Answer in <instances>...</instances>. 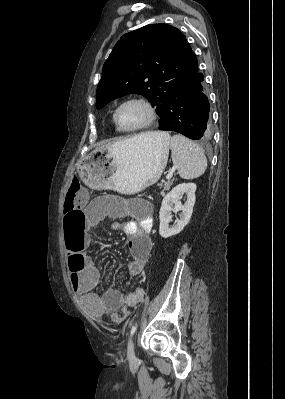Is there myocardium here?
<instances>
[{
	"label": "myocardium",
	"instance_id": "1",
	"mask_svg": "<svg viewBox=\"0 0 285 399\" xmlns=\"http://www.w3.org/2000/svg\"><path fill=\"white\" fill-rule=\"evenodd\" d=\"M130 103H140L142 105L145 106V108L148 111V119L135 127H131V128H124L121 126V124L119 123V119H118V115L120 110L127 104ZM157 118V112H156V108L153 105V103L148 100L147 98L141 97V96H136V97H131L126 99L125 101H123L115 110L114 115H113V120L115 122L116 127L118 128V130L123 131V132H137V131H142L148 127H150Z\"/></svg>",
	"mask_w": 285,
	"mask_h": 399
}]
</instances>
